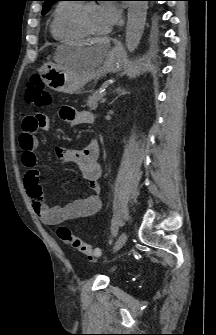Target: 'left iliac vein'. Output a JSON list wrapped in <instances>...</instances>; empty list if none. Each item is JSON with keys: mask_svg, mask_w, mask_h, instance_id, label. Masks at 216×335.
Instances as JSON below:
<instances>
[{"mask_svg": "<svg viewBox=\"0 0 216 335\" xmlns=\"http://www.w3.org/2000/svg\"><path fill=\"white\" fill-rule=\"evenodd\" d=\"M126 240H127V234L125 232H123L119 236V238H118V240H117V242H116V244L113 248V252H117L118 250H120L124 246V244L126 243Z\"/></svg>", "mask_w": 216, "mask_h": 335, "instance_id": "obj_1", "label": "left iliac vein"}]
</instances>
